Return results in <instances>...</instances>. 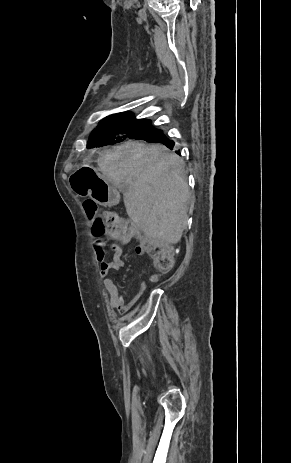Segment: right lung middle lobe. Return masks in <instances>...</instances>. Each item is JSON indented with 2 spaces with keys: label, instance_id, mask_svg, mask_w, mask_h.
I'll use <instances>...</instances> for the list:
<instances>
[{
  "label": "right lung middle lobe",
  "instance_id": "right-lung-middle-lobe-1",
  "mask_svg": "<svg viewBox=\"0 0 291 463\" xmlns=\"http://www.w3.org/2000/svg\"><path fill=\"white\" fill-rule=\"evenodd\" d=\"M161 132L151 126L150 120L110 115L104 118L92 132L87 148L116 144L127 139L146 140Z\"/></svg>",
  "mask_w": 291,
  "mask_h": 463
}]
</instances>
